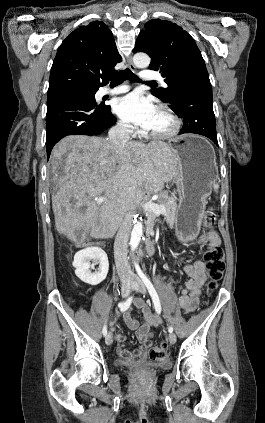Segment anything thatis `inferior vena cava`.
I'll return each instance as SVG.
<instances>
[{
    "label": "inferior vena cava",
    "instance_id": "inferior-vena-cava-1",
    "mask_svg": "<svg viewBox=\"0 0 265 423\" xmlns=\"http://www.w3.org/2000/svg\"><path fill=\"white\" fill-rule=\"evenodd\" d=\"M131 126L124 122H118L108 132V142L117 146L125 147L130 140ZM133 215L126 213L114 242V259L117 273L121 280L132 276V271L128 263L127 248L128 240L132 228Z\"/></svg>",
    "mask_w": 265,
    "mask_h": 423
}]
</instances>
